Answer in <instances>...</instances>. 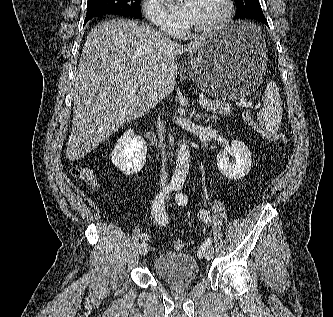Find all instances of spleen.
Returning a JSON list of instances; mask_svg holds the SVG:
<instances>
[{
    "label": "spleen",
    "instance_id": "1",
    "mask_svg": "<svg viewBox=\"0 0 333 317\" xmlns=\"http://www.w3.org/2000/svg\"><path fill=\"white\" fill-rule=\"evenodd\" d=\"M254 28L258 27L254 25ZM262 102L263 109L257 115L258 122L268 132H276L282 120V102L278 87L273 81L267 84Z\"/></svg>",
    "mask_w": 333,
    "mask_h": 317
}]
</instances>
